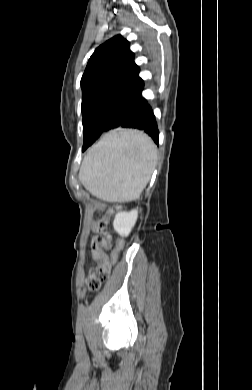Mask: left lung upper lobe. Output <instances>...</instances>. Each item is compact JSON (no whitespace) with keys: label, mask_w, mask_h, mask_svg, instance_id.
Here are the masks:
<instances>
[{"label":"left lung upper lobe","mask_w":252,"mask_h":390,"mask_svg":"<svg viewBox=\"0 0 252 390\" xmlns=\"http://www.w3.org/2000/svg\"><path fill=\"white\" fill-rule=\"evenodd\" d=\"M129 46L118 35L100 45L90 57L81 79L83 130L93 119L115 116L143 88Z\"/></svg>","instance_id":"1"}]
</instances>
